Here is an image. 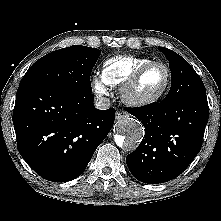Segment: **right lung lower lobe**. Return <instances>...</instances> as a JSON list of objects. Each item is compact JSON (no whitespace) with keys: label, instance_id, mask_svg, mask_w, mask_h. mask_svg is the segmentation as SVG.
Segmentation results:
<instances>
[{"label":"right lung lower lobe","instance_id":"1","mask_svg":"<svg viewBox=\"0 0 221 221\" xmlns=\"http://www.w3.org/2000/svg\"><path fill=\"white\" fill-rule=\"evenodd\" d=\"M93 101L92 93L19 86L13 112L17 147L42 178L66 182L84 172L115 116V109H96Z\"/></svg>","mask_w":221,"mask_h":221}]
</instances>
